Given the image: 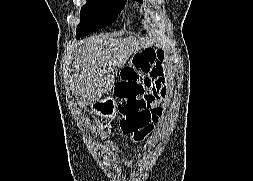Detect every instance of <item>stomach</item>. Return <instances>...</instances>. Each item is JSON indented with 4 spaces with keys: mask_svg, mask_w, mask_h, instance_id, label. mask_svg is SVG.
<instances>
[{
    "mask_svg": "<svg viewBox=\"0 0 253 181\" xmlns=\"http://www.w3.org/2000/svg\"><path fill=\"white\" fill-rule=\"evenodd\" d=\"M92 111L98 113L105 119H109L115 113V102L112 98L97 100L92 103Z\"/></svg>",
    "mask_w": 253,
    "mask_h": 181,
    "instance_id": "obj_1",
    "label": "stomach"
}]
</instances>
